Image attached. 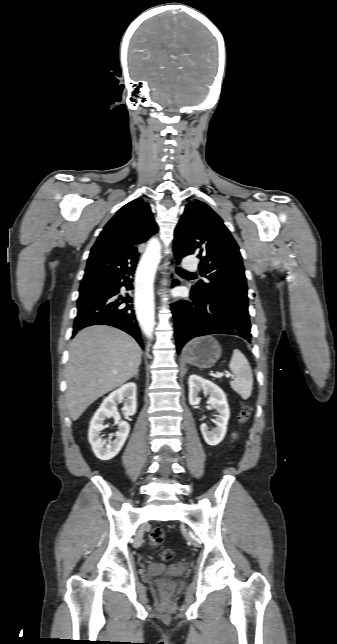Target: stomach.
Segmentation results:
<instances>
[{
	"label": "stomach",
	"mask_w": 337,
	"mask_h": 644,
	"mask_svg": "<svg viewBox=\"0 0 337 644\" xmlns=\"http://www.w3.org/2000/svg\"><path fill=\"white\" fill-rule=\"evenodd\" d=\"M221 352L218 341L212 336H205L187 344L182 353V360L198 368L208 369L216 364Z\"/></svg>",
	"instance_id": "1"
}]
</instances>
